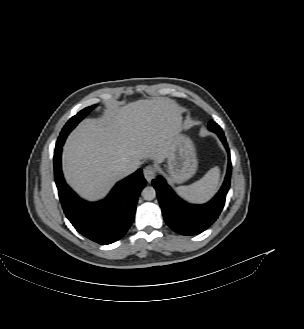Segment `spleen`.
<instances>
[{"label":"spleen","instance_id":"1","mask_svg":"<svg viewBox=\"0 0 304 329\" xmlns=\"http://www.w3.org/2000/svg\"><path fill=\"white\" fill-rule=\"evenodd\" d=\"M220 170L211 168L200 180L191 185L179 186L176 191L184 199L193 203H203L216 192L219 184Z\"/></svg>","mask_w":304,"mask_h":329}]
</instances>
